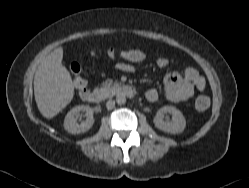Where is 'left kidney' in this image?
<instances>
[{
  "label": "left kidney",
  "mask_w": 249,
  "mask_h": 188,
  "mask_svg": "<svg viewBox=\"0 0 249 188\" xmlns=\"http://www.w3.org/2000/svg\"><path fill=\"white\" fill-rule=\"evenodd\" d=\"M166 113L171 114V121L163 120L164 114ZM153 122L158 129L171 134L182 133L186 127V120L183 114L180 110L173 106H164L160 108L157 111Z\"/></svg>",
  "instance_id": "1"
}]
</instances>
